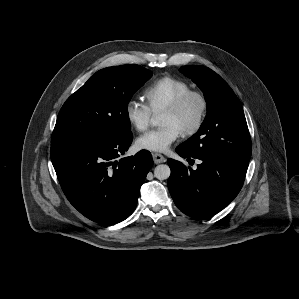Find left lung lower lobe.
<instances>
[{"label": "left lung lower lobe", "mask_w": 299, "mask_h": 299, "mask_svg": "<svg viewBox=\"0 0 299 299\" xmlns=\"http://www.w3.org/2000/svg\"><path fill=\"white\" fill-rule=\"evenodd\" d=\"M176 152L187 161H201L197 169L168 159L171 175L170 194L176 206L186 215L205 219L224 209L241 190L249 161L227 158H202L189 155L179 146Z\"/></svg>", "instance_id": "left-lung-lower-lobe-1"}]
</instances>
